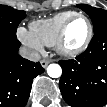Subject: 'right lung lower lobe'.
I'll return each mask as SVG.
<instances>
[{
  "label": "right lung lower lobe",
  "mask_w": 107,
  "mask_h": 107,
  "mask_svg": "<svg viewBox=\"0 0 107 107\" xmlns=\"http://www.w3.org/2000/svg\"><path fill=\"white\" fill-rule=\"evenodd\" d=\"M18 40L0 39V107H24L30 96L33 78L44 72L18 54Z\"/></svg>",
  "instance_id": "98d812e1"
}]
</instances>
